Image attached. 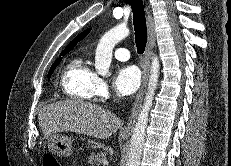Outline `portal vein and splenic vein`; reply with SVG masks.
<instances>
[{
    "label": "portal vein and splenic vein",
    "mask_w": 231,
    "mask_h": 166,
    "mask_svg": "<svg viewBox=\"0 0 231 166\" xmlns=\"http://www.w3.org/2000/svg\"><path fill=\"white\" fill-rule=\"evenodd\" d=\"M102 163L105 165L107 164V160H103Z\"/></svg>",
    "instance_id": "1"
}]
</instances>
